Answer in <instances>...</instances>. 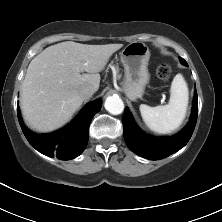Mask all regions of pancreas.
Returning <instances> with one entry per match:
<instances>
[{
  "mask_svg": "<svg viewBox=\"0 0 222 222\" xmlns=\"http://www.w3.org/2000/svg\"><path fill=\"white\" fill-rule=\"evenodd\" d=\"M119 69L116 68V72L118 73ZM121 75L120 74H117V78L120 79Z\"/></svg>",
  "mask_w": 222,
  "mask_h": 222,
  "instance_id": "cf45deb5",
  "label": "pancreas"
}]
</instances>
